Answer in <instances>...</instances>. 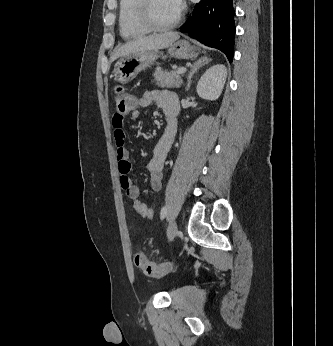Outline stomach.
Wrapping results in <instances>:
<instances>
[{"mask_svg":"<svg viewBox=\"0 0 333 346\" xmlns=\"http://www.w3.org/2000/svg\"><path fill=\"white\" fill-rule=\"evenodd\" d=\"M168 53L179 59H192L198 56L199 51L188 41L179 40L169 46ZM158 56L157 50L140 51L123 56L114 65L115 80L122 84L132 81L142 70L150 67Z\"/></svg>","mask_w":333,"mask_h":346,"instance_id":"obj_1","label":"stomach"}]
</instances>
